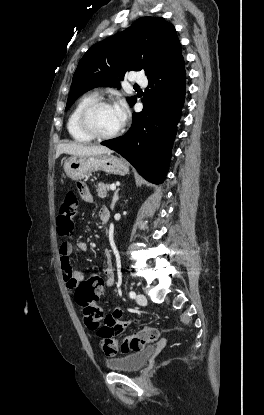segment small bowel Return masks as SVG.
Listing matches in <instances>:
<instances>
[{"label":"small bowel","instance_id":"obj_1","mask_svg":"<svg viewBox=\"0 0 264 415\" xmlns=\"http://www.w3.org/2000/svg\"><path fill=\"white\" fill-rule=\"evenodd\" d=\"M84 197L87 200H92V196L88 191L85 192ZM98 217L103 224L107 223L110 219L109 209L105 206L101 207L98 212ZM76 248L80 252L85 253L88 250V244L85 241H79L76 243ZM72 251L73 247L70 243L64 242L59 246V261L61 269L64 272L66 286L71 294L75 297L78 286L87 278L83 272L73 268L71 262ZM103 262V277H97L101 283L100 291L104 287H111L115 284V273L112 266V255L109 251H105L103 253ZM130 324L131 321L123 315V312L120 308H117L112 315L107 317L105 327L111 335H115L124 331Z\"/></svg>","mask_w":264,"mask_h":415}]
</instances>
